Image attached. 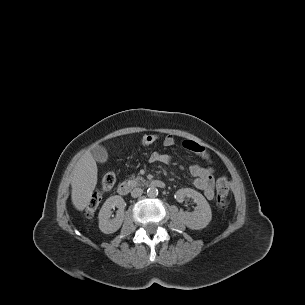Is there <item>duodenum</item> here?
Masks as SVG:
<instances>
[{"mask_svg": "<svg viewBox=\"0 0 305 305\" xmlns=\"http://www.w3.org/2000/svg\"><path fill=\"white\" fill-rule=\"evenodd\" d=\"M150 186L156 187V188H164L165 187V182L162 180H152L150 182ZM132 189V184L128 181H123L120 183L118 186V194L121 196H126L130 193Z\"/></svg>", "mask_w": 305, "mask_h": 305, "instance_id": "1", "label": "duodenum"}]
</instances>
